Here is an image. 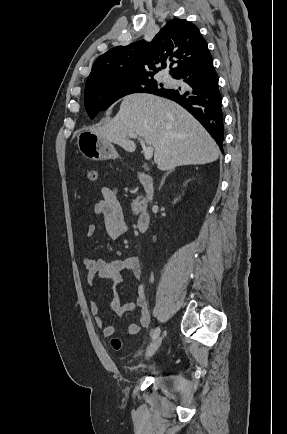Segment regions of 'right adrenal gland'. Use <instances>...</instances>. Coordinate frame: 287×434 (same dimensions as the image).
Returning a JSON list of instances; mask_svg holds the SVG:
<instances>
[{
    "label": "right adrenal gland",
    "instance_id": "right-adrenal-gland-1",
    "mask_svg": "<svg viewBox=\"0 0 287 434\" xmlns=\"http://www.w3.org/2000/svg\"><path fill=\"white\" fill-rule=\"evenodd\" d=\"M169 173H170V172H168V173L166 174V176H167ZM166 176H165V177H166Z\"/></svg>",
    "mask_w": 287,
    "mask_h": 434
}]
</instances>
